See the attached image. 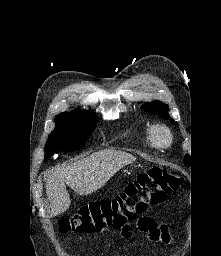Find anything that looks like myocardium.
Segmentation results:
<instances>
[{
    "mask_svg": "<svg viewBox=\"0 0 221 256\" xmlns=\"http://www.w3.org/2000/svg\"><path fill=\"white\" fill-rule=\"evenodd\" d=\"M154 143L159 147H167L173 140L170 129L164 125H154L151 128Z\"/></svg>",
    "mask_w": 221,
    "mask_h": 256,
    "instance_id": "1",
    "label": "myocardium"
}]
</instances>
